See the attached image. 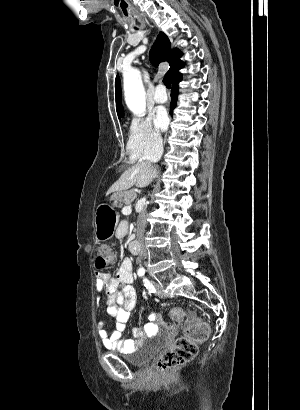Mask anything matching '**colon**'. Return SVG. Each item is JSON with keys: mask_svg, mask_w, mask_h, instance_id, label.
Masks as SVG:
<instances>
[{"mask_svg": "<svg viewBox=\"0 0 300 410\" xmlns=\"http://www.w3.org/2000/svg\"><path fill=\"white\" fill-rule=\"evenodd\" d=\"M115 263V253L112 249H103L95 257V266L98 269L107 268ZM182 310L177 308L172 311L174 325H179L181 330L185 331V336L179 338L175 343L156 360V370L166 375L172 369H175L194 358L198 346L204 343L209 335V325L201 320L185 321Z\"/></svg>", "mask_w": 300, "mask_h": 410, "instance_id": "colon-1", "label": "colon"}]
</instances>
